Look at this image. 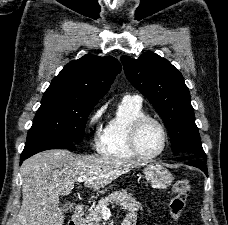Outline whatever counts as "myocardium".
Instances as JSON below:
<instances>
[{
  "label": "myocardium",
  "mask_w": 228,
  "mask_h": 225,
  "mask_svg": "<svg viewBox=\"0 0 228 225\" xmlns=\"http://www.w3.org/2000/svg\"><path fill=\"white\" fill-rule=\"evenodd\" d=\"M149 122H153V123L157 124L163 133L162 148L159 152H157L155 154L144 153L140 146L141 131L144 128V126ZM168 141H169V134H168L166 125L160 119H158L154 116H150V115L142 116V117L136 119L131 126L130 146H131L132 150L134 151V153L140 158H143L146 160H151V159H155V158L162 156L168 146Z\"/></svg>",
  "instance_id": "f54148a6"
}]
</instances>
